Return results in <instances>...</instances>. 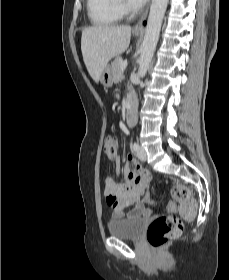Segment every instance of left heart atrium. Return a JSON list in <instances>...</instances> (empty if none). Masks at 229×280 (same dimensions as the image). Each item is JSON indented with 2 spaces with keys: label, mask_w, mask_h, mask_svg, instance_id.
<instances>
[{
  "label": "left heart atrium",
  "mask_w": 229,
  "mask_h": 280,
  "mask_svg": "<svg viewBox=\"0 0 229 280\" xmlns=\"http://www.w3.org/2000/svg\"><path fill=\"white\" fill-rule=\"evenodd\" d=\"M128 1L132 6L138 7L143 5L147 0H128Z\"/></svg>",
  "instance_id": "39dd6f15"
}]
</instances>
